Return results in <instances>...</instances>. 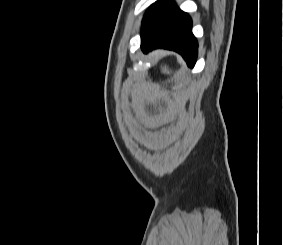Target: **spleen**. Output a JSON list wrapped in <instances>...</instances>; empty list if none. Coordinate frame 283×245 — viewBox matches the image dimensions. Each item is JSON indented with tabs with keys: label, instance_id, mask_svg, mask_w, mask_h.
I'll return each instance as SVG.
<instances>
[{
	"label": "spleen",
	"instance_id": "obj_1",
	"mask_svg": "<svg viewBox=\"0 0 283 245\" xmlns=\"http://www.w3.org/2000/svg\"><path fill=\"white\" fill-rule=\"evenodd\" d=\"M161 72L163 74H170V70H169V68L167 66L161 67Z\"/></svg>",
	"mask_w": 283,
	"mask_h": 245
}]
</instances>
